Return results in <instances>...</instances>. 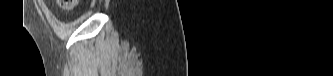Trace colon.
Returning a JSON list of instances; mask_svg holds the SVG:
<instances>
[{
    "instance_id": "1",
    "label": "colon",
    "mask_w": 333,
    "mask_h": 76,
    "mask_svg": "<svg viewBox=\"0 0 333 76\" xmlns=\"http://www.w3.org/2000/svg\"><path fill=\"white\" fill-rule=\"evenodd\" d=\"M77 2V0H58L57 4L61 9L71 10L76 6Z\"/></svg>"
}]
</instances>
